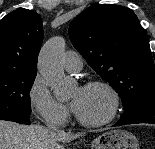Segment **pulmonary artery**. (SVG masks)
<instances>
[{
  "label": "pulmonary artery",
  "mask_w": 155,
  "mask_h": 149,
  "mask_svg": "<svg viewBox=\"0 0 155 149\" xmlns=\"http://www.w3.org/2000/svg\"><path fill=\"white\" fill-rule=\"evenodd\" d=\"M63 67L68 72H78L82 68V58L75 51H68L63 58Z\"/></svg>",
  "instance_id": "pulmonary-artery-1"
}]
</instances>
